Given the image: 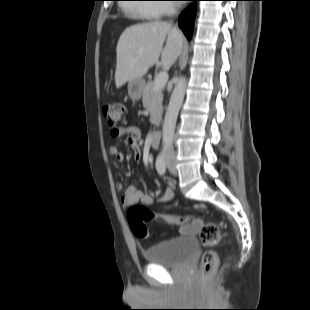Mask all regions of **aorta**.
Instances as JSON below:
<instances>
[{
  "label": "aorta",
  "mask_w": 310,
  "mask_h": 310,
  "mask_svg": "<svg viewBox=\"0 0 310 310\" xmlns=\"http://www.w3.org/2000/svg\"><path fill=\"white\" fill-rule=\"evenodd\" d=\"M186 91V80L184 77L178 78L176 85L170 97L169 105L166 110L163 132H162V142L164 148H169L172 146L176 121L180 107L183 103L184 95Z\"/></svg>",
  "instance_id": "aorta-1"
}]
</instances>
